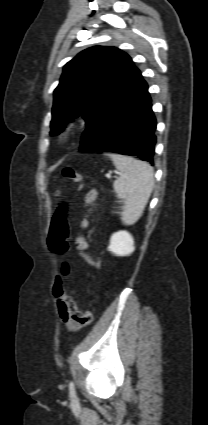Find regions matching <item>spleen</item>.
Masks as SVG:
<instances>
[{"label": "spleen", "mask_w": 208, "mask_h": 425, "mask_svg": "<svg viewBox=\"0 0 208 425\" xmlns=\"http://www.w3.org/2000/svg\"><path fill=\"white\" fill-rule=\"evenodd\" d=\"M121 175L113 184L114 191L123 201L121 220L134 224L141 217L154 186L153 168L146 162L119 154H109Z\"/></svg>", "instance_id": "spleen-1"}]
</instances>
